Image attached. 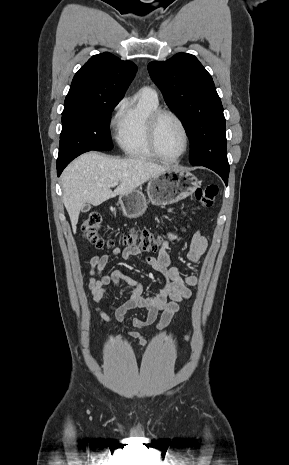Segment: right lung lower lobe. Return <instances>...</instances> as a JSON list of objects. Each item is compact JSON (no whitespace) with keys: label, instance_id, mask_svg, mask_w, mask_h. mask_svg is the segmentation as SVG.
<instances>
[{"label":"right lung lower lobe","instance_id":"98d812e1","mask_svg":"<svg viewBox=\"0 0 289 465\" xmlns=\"http://www.w3.org/2000/svg\"><path fill=\"white\" fill-rule=\"evenodd\" d=\"M72 160H67L63 162H57V175L60 176L63 169L71 162Z\"/></svg>","mask_w":289,"mask_h":465}]
</instances>
